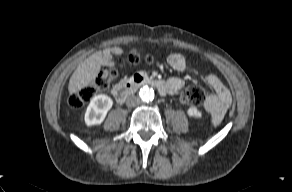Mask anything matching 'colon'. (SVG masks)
Segmentation results:
<instances>
[{
    "mask_svg": "<svg viewBox=\"0 0 292 192\" xmlns=\"http://www.w3.org/2000/svg\"><path fill=\"white\" fill-rule=\"evenodd\" d=\"M147 63L152 62L150 55H143L138 50H131L126 56V62L136 64L141 60ZM117 70L113 66H106L102 69L96 78L89 84L82 87L80 90L72 93L69 96L68 103L71 108L79 109L86 102L91 100L96 94L107 90L112 82L117 77ZM209 94L207 90L199 86H191L182 91L180 102L189 105H201L207 101Z\"/></svg>",
    "mask_w": 292,
    "mask_h": 192,
    "instance_id": "colon-1",
    "label": "colon"
}]
</instances>
